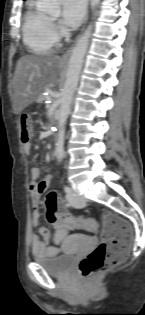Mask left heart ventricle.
Returning a JSON list of instances; mask_svg holds the SVG:
<instances>
[{
  "instance_id": "b2bd125f",
  "label": "left heart ventricle",
  "mask_w": 145,
  "mask_h": 315,
  "mask_svg": "<svg viewBox=\"0 0 145 315\" xmlns=\"http://www.w3.org/2000/svg\"><path fill=\"white\" fill-rule=\"evenodd\" d=\"M58 14H56V15H53V16H51V19H53V20H57L58 19Z\"/></svg>"
}]
</instances>
